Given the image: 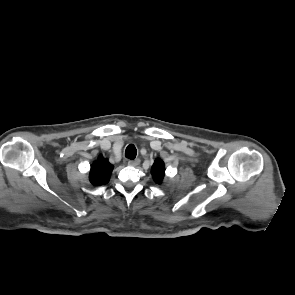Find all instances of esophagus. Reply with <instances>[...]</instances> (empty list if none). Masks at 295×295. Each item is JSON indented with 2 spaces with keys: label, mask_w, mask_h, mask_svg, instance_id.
Wrapping results in <instances>:
<instances>
[{
  "label": "esophagus",
  "mask_w": 295,
  "mask_h": 295,
  "mask_svg": "<svg viewBox=\"0 0 295 295\" xmlns=\"http://www.w3.org/2000/svg\"><path fill=\"white\" fill-rule=\"evenodd\" d=\"M139 163H140V160L139 159L129 160L128 161V165L129 166H137V165H139Z\"/></svg>",
  "instance_id": "34e87169"
}]
</instances>
